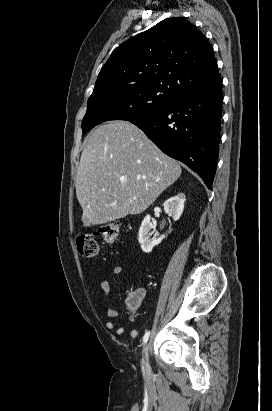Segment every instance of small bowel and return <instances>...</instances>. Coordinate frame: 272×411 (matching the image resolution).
Returning a JSON list of instances; mask_svg holds the SVG:
<instances>
[{
  "mask_svg": "<svg viewBox=\"0 0 272 411\" xmlns=\"http://www.w3.org/2000/svg\"><path fill=\"white\" fill-rule=\"evenodd\" d=\"M122 272H123V267L120 266V265L115 266L112 270V273L115 276L120 275ZM100 288L103 291V294H104L105 298H108L109 295H110V283L107 280H103V281L100 282ZM107 315L110 319H112V320H109L106 323L107 329L115 331V333L119 336L128 333L132 339L138 338L139 332L136 329H129V328H125V327H119L113 321V319H115L119 316V312L116 309L109 306L107 308Z\"/></svg>",
  "mask_w": 272,
  "mask_h": 411,
  "instance_id": "1",
  "label": "small bowel"
}]
</instances>
